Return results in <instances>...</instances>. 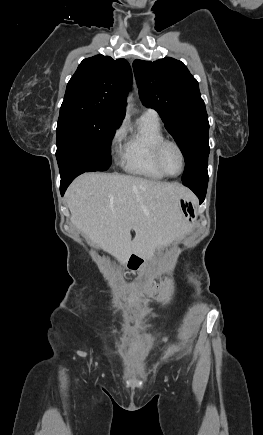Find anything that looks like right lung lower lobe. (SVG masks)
Here are the masks:
<instances>
[{
    "label": "right lung lower lobe",
    "instance_id": "obj_1",
    "mask_svg": "<svg viewBox=\"0 0 263 435\" xmlns=\"http://www.w3.org/2000/svg\"><path fill=\"white\" fill-rule=\"evenodd\" d=\"M97 171L93 169H84V168H73L65 172L64 174H61V183H60V191L61 195L63 196L65 193V190L69 186V184L80 174L84 172H92Z\"/></svg>",
    "mask_w": 263,
    "mask_h": 435
}]
</instances>
